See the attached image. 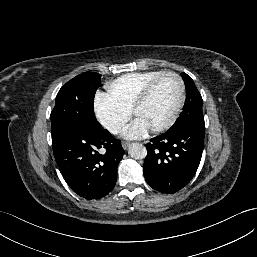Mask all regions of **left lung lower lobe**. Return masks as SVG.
<instances>
[{
	"instance_id": "left-lung-lower-lobe-1",
	"label": "left lung lower lobe",
	"mask_w": 257,
	"mask_h": 257,
	"mask_svg": "<svg viewBox=\"0 0 257 257\" xmlns=\"http://www.w3.org/2000/svg\"><path fill=\"white\" fill-rule=\"evenodd\" d=\"M204 133L205 126L189 125L152 138L143 165L146 182L166 194L186 186L198 169Z\"/></svg>"
}]
</instances>
